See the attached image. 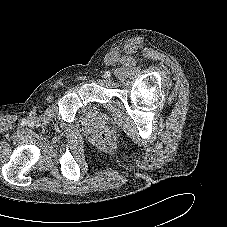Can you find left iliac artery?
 Instances as JSON below:
<instances>
[{
	"mask_svg": "<svg viewBox=\"0 0 227 227\" xmlns=\"http://www.w3.org/2000/svg\"><path fill=\"white\" fill-rule=\"evenodd\" d=\"M105 75H106V76H110V72H109V71L106 72Z\"/></svg>",
	"mask_w": 227,
	"mask_h": 227,
	"instance_id": "obj_1",
	"label": "left iliac artery"
}]
</instances>
